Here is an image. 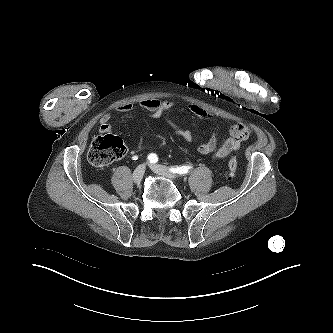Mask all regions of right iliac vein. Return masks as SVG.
<instances>
[{
  "label": "right iliac vein",
  "mask_w": 333,
  "mask_h": 333,
  "mask_svg": "<svg viewBox=\"0 0 333 333\" xmlns=\"http://www.w3.org/2000/svg\"><path fill=\"white\" fill-rule=\"evenodd\" d=\"M144 172H145V166L144 165H139L134 173H133V181L134 183L136 184H139L142 179H143V176H144Z\"/></svg>",
  "instance_id": "1"
}]
</instances>
